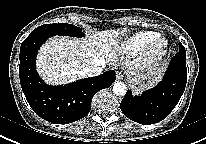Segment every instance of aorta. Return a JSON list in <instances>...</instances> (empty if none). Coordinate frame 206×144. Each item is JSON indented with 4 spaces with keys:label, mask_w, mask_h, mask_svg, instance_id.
<instances>
[{
    "label": "aorta",
    "mask_w": 206,
    "mask_h": 144,
    "mask_svg": "<svg viewBox=\"0 0 206 144\" xmlns=\"http://www.w3.org/2000/svg\"><path fill=\"white\" fill-rule=\"evenodd\" d=\"M113 92L117 95V96H124L127 92V87L123 82H116L113 85Z\"/></svg>",
    "instance_id": "obj_1"
}]
</instances>
